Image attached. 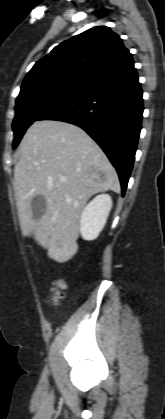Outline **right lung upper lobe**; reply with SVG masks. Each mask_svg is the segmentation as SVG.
I'll list each match as a JSON object with an SVG mask.
<instances>
[{"label":"right lung upper lobe","mask_w":165,"mask_h":419,"mask_svg":"<svg viewBox=\"0 0 165 419\" xmlns=\"http://www.w3.org/2000/svg\"><path fill=\"white\" fill-rule=\"evenodd\" d=\"M134 67L132 54L110 28L94 27L56 46L35 63L18 97L43 88L91 92Z\"/></svg>","instance_id":"cb5924a9"}]
</instances>
